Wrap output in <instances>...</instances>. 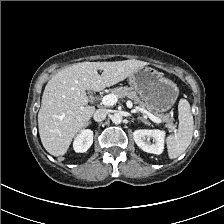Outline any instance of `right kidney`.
<instances>
[{"label": "right kidney", "mask_w": 224, "mask_h": 224, "mask_svg": "<svg viewBox=\"0 0 224 224\" xmlns=\"http://www.w3.org/2000/svg\"><path fill=\"white\" fill-rule=\"evenodd\" d=\"M93 143V131L84 129L77 135L73 142V149L77 153L86 152Z\"/></svg>", "instance_id": "ca27d5eb"}]
</instances>
